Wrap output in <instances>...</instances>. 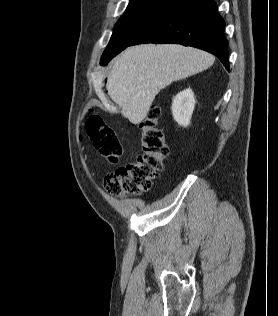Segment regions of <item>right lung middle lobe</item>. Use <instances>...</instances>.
<instances>
[{"label":"right lung middle lobe","instance_id":"dd1d6c3e","mask_svg":"<svg viewBox=\"0 0 278 316\" xmlns=\"http://www.w3.org/2000/svg\"><path fill=\"white\" fill-rule=\"evenodd\" d=\"M169 0H130L118 20L102 57L101 65L129 46L160 14Z\"/></svg>","mask_w":278,"mask_h":316}]
</instances>
